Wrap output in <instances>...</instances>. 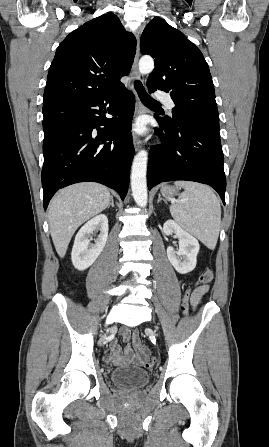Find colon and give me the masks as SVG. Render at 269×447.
Here are the masks:
<instances>
[{
	"label": "colon",
	"mask_w": 269,
	"mask_h": 447,
	"mask_svg": "<svg viewBox=\"0 0 269 447\" xmlns=\"http://www.w3.org/2000/svg\"><path fill=\"white\" fill-rule=\"evenodd\" d=\"M214 279V271L211 268H206L197 280V284L200 286L207 285L211 283ZM191 288H187L184 291V295L181 297L180 306L184 313L188 312L190 304ZM155 360L150 357H144L142 359V364L145 368L150 369L153 367Z\"/></svg>",
	"instance_id": "1"
}]
</instances>
